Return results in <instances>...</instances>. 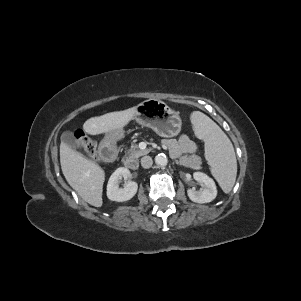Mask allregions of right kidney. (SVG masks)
<instances>
[{"label": "right kidney", "instance_id": "obj_1", "mask_svg": "<svg viewBox=\"0 0 301 301\" xmlns=\"http://www.w3.org/2000/svg\"><path fill=\"white\" fill-rule=\"evenodd\" d=\"M130 177L131 174L127 168L120 167L116 169L110 176L107 184L108 199L116 202H125L133 198L138 190L136 182L128 181L123 188L119 187V182L122 178L128 179Z\"/></svg>", "mask_w": 301, "mask_h": 301}]
</instances>
